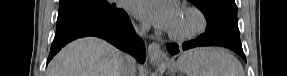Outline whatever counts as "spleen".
<instances>
[{
    "label": "spleen",
    "mask_w": 287,
    "mask_h": 76,
    "mask_svg": "<svg viewBox=\"0 0 287 76\" xmlns=\"http://www.w3.org/2000/svg\"><path fill=\"white\" fill-rule=\"evenodd\" d=\"M186 76H245L236 57L221 47H198L178 59Z\"/></svg>",
    "instance_id": "1"
}]
</instances>
